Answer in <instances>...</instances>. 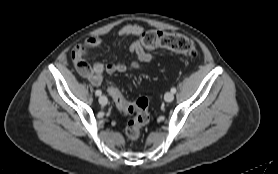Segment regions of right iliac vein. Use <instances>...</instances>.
<instances>
[{"instance_id":"right-iliac-vein-1","label":"right iliac vein","mask_w":278,"mask_h":174,"mask_svg":"<svg viewBox=\"0 0 278 174\" xmlns=\"http://www.w3.org/2000/svg\"><path fill=\"white\" fill-rule=\"evenodd\" d=\"M99 103H100L101 105H106V104L108 103L107 97H106V96H100V97H99Z\"/></svg>"}]
</instances>
